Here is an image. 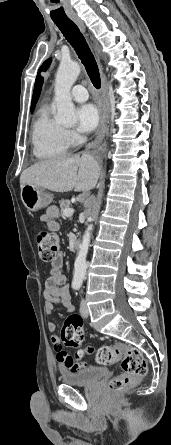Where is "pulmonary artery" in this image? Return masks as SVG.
Listing matches in <instances>:
<instances>
[{"mask_svg":"<svg viewBox=\"0 0 171 445\" xmlns=\"http://www.w3.org/2000/svg\"><path fill=\"white\" fill-rule=\"evenodd\" d=\"M71 96L76 102H84L88 99L87 90L82 85H75L71 90Z\"/></svg>","mask_w":171,"mask_h":445,"instance_id":"1","label":"pulmonary artery"}]
</instances>
